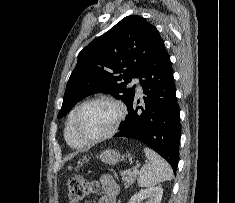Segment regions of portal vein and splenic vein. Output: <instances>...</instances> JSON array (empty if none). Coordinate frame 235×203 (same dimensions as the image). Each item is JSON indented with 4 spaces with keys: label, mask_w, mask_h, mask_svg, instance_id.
I'll return each mask as SVG.
<instances>
[{
    "label": "portal vein and splenic vein",
    "mask_w": 235,
    "mask_h": 203,
    "mask_svg": "<svg viewBox=\"0 0 235 203\" xmlns=\"http://www.w3.org/2000/svg\"><path fill=\"white\" fill-rule=\"evenodd\" d=\"M134 171L137 172V168L136 167H134Z\"/></svg>",
    "instance_id": "1"
}]
</instances>
